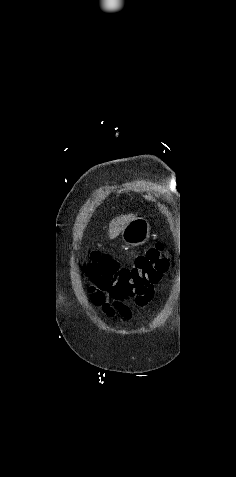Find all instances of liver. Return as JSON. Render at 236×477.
Returning <instances> with one entry per match:
<instances>
[{"label":"liver","mask_w":236,"mask_h":477,"mask_svg":"<svg viewBox=\"0 0 236 477\" xmlns=\"http://www.w3.org/2000/svg\"><path fill=\"white\" fill-rule=\"evenodd\" d=\"M134 219H135V216L132 214L122 215V216L114 218L109 224V238L110 239L116 238L125 229V227Z\"/></svg>","instance_id":"6515ba94"}]
</instances>
